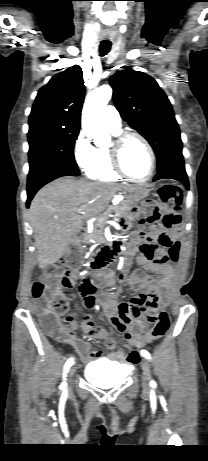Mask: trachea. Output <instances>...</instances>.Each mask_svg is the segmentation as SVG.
I'll return each instance as SVG.
<instances>
[{
    "instance_id": "obj_1",
    "label": "trachea",
    "mask_w": 208,
    "mask_h": 461,
    "mask_svg": "<svg viewBox=\"0 0 208 461\" xmlns=\"http://www.w3.org/2000/svg\"><path fill=\"white\" fill-rule=\"evenodd\" d=\"M111 49V43L102 42L99 47V51L102 56L106 55Z\"/></svg>"
}]
</instances>
